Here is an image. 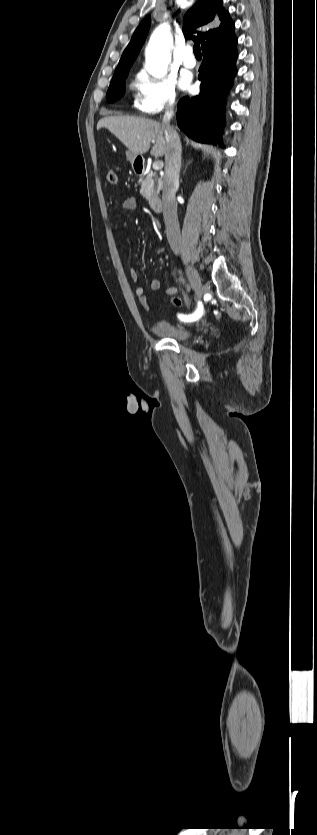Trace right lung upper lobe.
Segmentation results:
<instances>
[{"label":"right lung upper lobe","instance_id":"1","mask_svg":"<svg viewBox=\"0 0 317 835\" xmlns=\"http://www.w3.org/2000/svg\"><path fill=\"white\" fill-rule=\"evenodd\" d=\"M150 24V16L139 24L115 71L130 69L146 39ZM183 28L186 38L194 37L202 44V48L218 38L234 33V23L223 9L221 0L196 2L185 14Z\"/></svg>","mask_w":317,"mask_h":835}]
</instances>
